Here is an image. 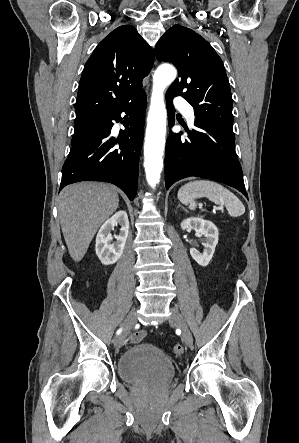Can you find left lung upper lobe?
<instances>
[{
  "mask_svg": "<svg viewBox=\"0 0 299 443\" xmlns=\"http://www.w3.org/2000/svg\"><path fill=\"white\" fill-rule=\"evenodd\" d=\"M155 53L159 61L171 62L178 78L167 94L181 95L193 107L196 119H204L232 130V95L221 58L193 30L174 25L159 39Z\"/></svg>",
  "mask_w": 299,
  "mask_h": 443,
  "instance_id": "5c2ea615",
  "label": "left lung upper lobe"
}]
</instances>
